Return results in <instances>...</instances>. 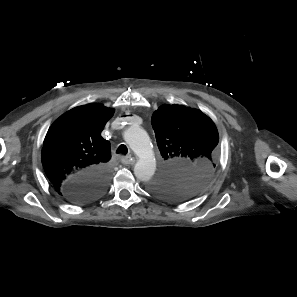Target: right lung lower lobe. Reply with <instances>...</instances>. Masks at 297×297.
<instances>
[{"instance_id": "right-lung-lower-lobe-1", "label": "right lung lower lobe", "mask_w": 297, "mask_h": 297, "mask_svg": "<svg viewBox=\"0 0 297 297\" xmlns=\"http://www.w3.org/2000/svg\"><path fill=\"white\" fill-rule=\"evenodd\" d=\"M108 167L82 171L64 187L61 195L73 203H84L98 197L109 182Z\"/></svg>"}]
</instances>
